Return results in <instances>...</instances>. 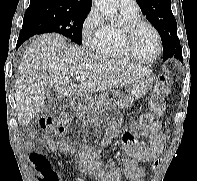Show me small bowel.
Wrapping results in <instances>:
<instances>
[{
  "instance_id": "obj_1",
  "label": "small bowel",
  "mask_w": 197,
  "mask_h": 181,
  "mask_svg": "<svg viewBox=\"0 0 197 181\" xmlns=\"http://www.w3.org/2000/svg\"><path fill=\"white\" fill-rule=\"evenodd\" d=\"M113 126L117 129L123 128L121 121L115 122ZM44 142L51 151L76 155L78 169L91 175L97 181H121L122 174L131 181H145V169L142 164L159 161L166 137L159 121H154L150 125L148 145L137 144L132 131L125 129L122 138L125 153L117 161L109 163L106 169L102 168L97 160L100 150L91 146L76 149L68 143L58 142L50 137H46ZM30 162L38 173L37 181H64L53 169L50 161L41 153H31ZM118 165L122 167V172Z\"/></svg>"
}]
</instances>
